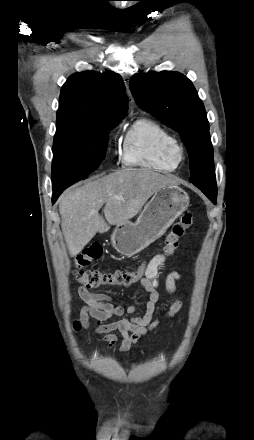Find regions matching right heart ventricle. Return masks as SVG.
I'll return each instance as SVG.
<instances>
[{
  "label": "right heart ventricle",
  "instance_id": "right-heart-ventricle-1",
  "mask_svg": "<svg viewBox=\"0 0 254 440\" xmlns=\"http://www.w3.org/2000/svg\"><path fill=\"white\" fill-rule=\"evenodd\" d=\"M171 132L150 117L138 118L127 130L122 145L124 166L171 172L177 165L164 156L165 145L173 139Z\"/></svg>",
  "mask_w": 254,
  "mask_h": 440
}]
</instances>
